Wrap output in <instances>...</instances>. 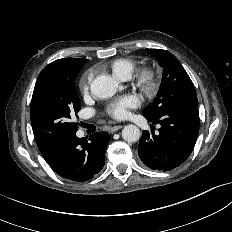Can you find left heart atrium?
<instances>
[{"mask_svg":"<svg viewBox=\"0 0 232 232\" xmlns=\"http://www.w3.org/2000/svg\"><path fill=\"white\" fill-rule=\"evenodd\" d=\"M139 104L140 101L137 96H125L111 106L110 114L116 119H124L128 116L129 110L136 108Z\"/></svg>","mask_w":232,"mask_h":232,"instance_id":"left-heart-atrium-1","label":"left heart atrium"}]
</instances>
